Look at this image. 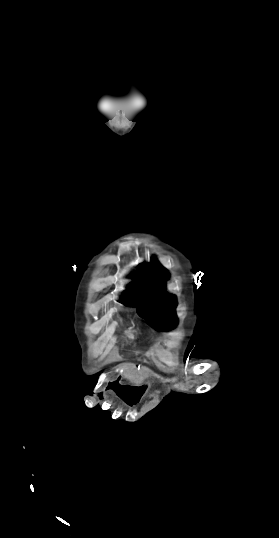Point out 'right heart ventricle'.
<instances>
[{
  "mask_svg": "<svg viewBox=\"0 0 279 538\" xmlns=\"http://www.w3.org/2000/svg\"><path fill=\"white\" fill-rule=\"evenodd\" d=\"M102 222H103V217H97V219L93 223V226H95V228H98V226H100Z\"/></svg>",
  "mask_w": 279,
  "mask_h": 538,
  "instance_id": "1",
  "label": "right heart ventricle"
}]
</instances>
